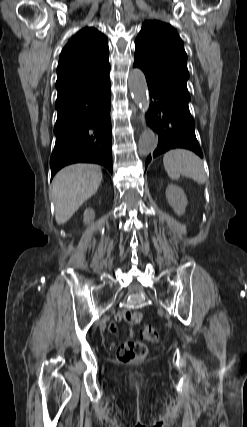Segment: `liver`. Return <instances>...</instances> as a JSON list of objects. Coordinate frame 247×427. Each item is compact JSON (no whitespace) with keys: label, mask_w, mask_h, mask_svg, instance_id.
I'll return each mask as SVG.
<instances>
[{"label":"liver","mask_w":247,"mask_h":427,"mask_svg":"<svg viewBox=\"0 0 247 427\" xmlns=\"http://www.w3.org/2000/svg\"><path fill=\"white\" fill-rule=\"evenodd\" d=\"M101 180V167L94 164H73L60 170L51 191L57 224L66 223L97 192Z\"/></svg>","instance_id":"1"}]
</instances>
